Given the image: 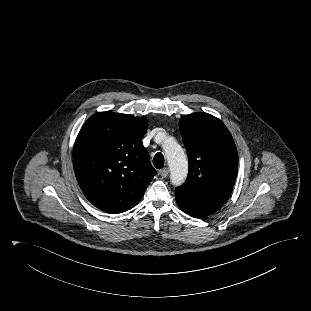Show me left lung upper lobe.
Wrapping results in <instances>:
<instances>
[{
    "mask_svg": "<svg viewBox=\"0 0 311 311\" xmlns=\"http://www.w3.org/2000/svg\"><path fill=\"white\" fill-rule=\"evenodd\" d=\"M180 132L188 153L189 173L179 188L225 204L238 171V154L227 127L203 112L182 117Z\"/></svg>",
    "mask_w": 311,
    "mask_h": 311,
    "instance_id": "obj_1",
    "label": "left lung upper lobe"
}]
</instances>
